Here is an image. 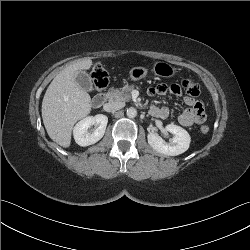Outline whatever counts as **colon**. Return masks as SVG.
Masks as SVG:
<instances>
[{"label":"colon","mask_w":250,"mask_h":250,"mask_svg":"<svg viewBox=\"0 0 250 250\" xmlns=\"http://www.w3.org/2000/svg\"><path fill=\"white\" fill-rule=\"evenodd\" d=\"M91 78L95 89L98 91L103 90L109 82L108 72L100 63H97L93 66ZM180 86L189 97L196 98L200 95L199 85L191 79H183ZM200 130L202 133H208L209 127L207 125H203L201 126Z\"/></svg>","instance_id":"1"}]
</instances>
